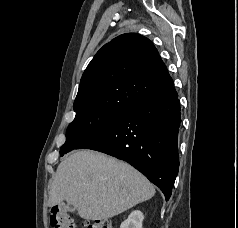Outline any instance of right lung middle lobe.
<instances>
[{"label":"right lung middle lobe","mask_w":238,"mask_h":228,"mask_svg":"<svg viewBox=\"0 0 238 228\" xmlns=\"http://www.w3.org/2000/svg\"><path fill=\"white\" fill-rule=\"evenodd\" d=\"M125 110L124 108L102 109L90 108L76 112V116L67 128L66 142L60 148V155L76 149L114 122Z\"/></svg>","instance_id":"dd1d6c3e"}]
</instances>
